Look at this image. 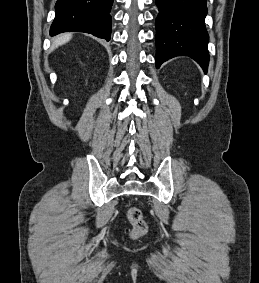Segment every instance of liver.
<instances>
[{
  "label": "liver",
  "mask_w": 259,
  "mask_h": 283,
  "mask_svg": "<svg viewBox=\"0 0 259 283\" xmlns=\"http://www.w3.org/2000/svg\"><path fill=\"white\" fill-rule=\"evenodd\" d=\"M71 38H72V34H64V35H60L59 37L55 38L52 41L51 51H53L60 45L67 43Z\"/></svg>",
  "instance_id": "obj_1"
}]
</instances>
